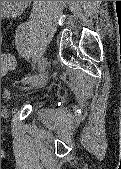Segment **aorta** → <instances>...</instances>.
I'll return each mask as SVG.
<instances>
[{
    "mask_svg": "<svg viewBox=\"0 0 121 169\" xmlns=\"http://www.w3.org/2000/svg\"><path fill=\"white\" fill-rule=\"evenodd\" d=\"M11 2V1H10ZM14 2H19V6L24 3V1H14ZM26 2V1H25ZM3 3V4H2ZM2 6L4 4H9V1H1ZM5 6V5H4Z\"/></svg>",
    "mask_w": 121,
    "mask_h": 169,
    "instance_id": "762f6f07",
    "label": "aorta"
}]
</instances>
